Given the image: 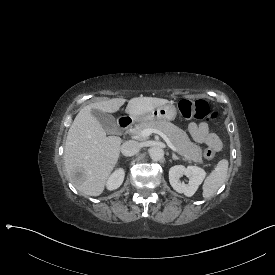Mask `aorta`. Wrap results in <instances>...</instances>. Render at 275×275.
Instances as JSON below:
<instances>
[{"instance_id": "obj_1", "label": "aorta", "mask_w": 275, "mask_h": 275, "mask_svg": "<svg viewBox=\"0 0 275 275\" xmlns=\"http://www.w3.org/2000/svg\"><path fill=\"white\" fill-rule=\"evenodd\" d=\"M149 153H150V158L153 161H159L164 157V151L161 147H152Z\"/></svg>"}]
</instances>
